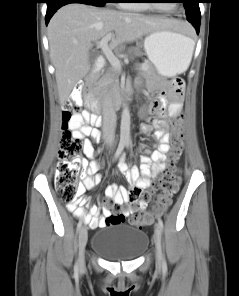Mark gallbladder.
Returning <instances> with one entry per match:
<instances>
[{
  "instance_id": "gallbladder-1",
  "label": "gallbladder",
  "mask_w": 239,
  "mask_h": 296,
  "mask_svg": "<svg viewBox=\"0 0 239 296\" xmlns=\"http://www.w3.org/2000/svg\"><path fill=\"white\" fill-rule=\"evenodd\" d=\"M96 59H97V55L95 53H90L89 54V64H90L91 68L93 67Z\"/></svg>"
}]
</instances>
